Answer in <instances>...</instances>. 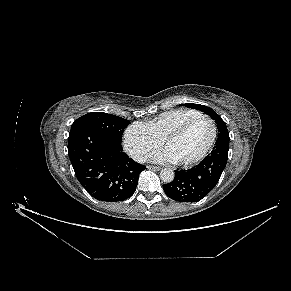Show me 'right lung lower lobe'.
Wrapping results in <instances>:
<instances>
[{
	"label": "right lung lower lobe",
	"mask_w": 291,
	"mask_h": 291,
	"mask_svg": "<svg viewBox=\"0 0 291 291\" xmlns=\"http://www.w3.org/2000/svg\"><path fill=\"white\" fill-rule=\"evenodd\" d=\"M121 144L93 129L69 133L68 154L81 185L100 201H123L133 195L146 169L122 152Z\"/></svg>",
	"instance_id": "obj_1"
}]
</instances>
